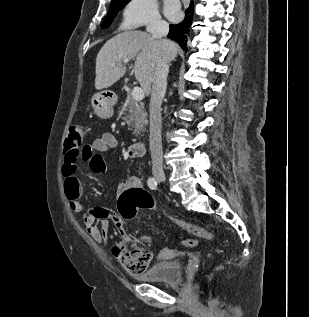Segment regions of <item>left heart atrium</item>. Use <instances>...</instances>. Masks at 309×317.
I'll return each instance as SVG.
<instances>
[{"label":"left heart atrium","mask_w":309,"mask_h":317,"mask_svg":"<svg viewBox=\"0 0 309 317\" xmlns=\"http://www.w3.org/2000/svg\"><path fill=\"white\" fill-rule=\"evenodd\" d=\"M165 13L169 19L177 20L181 14L178 3L174 0H168L165 5Z\"/></svg>","instance_id":"obj_1"}]
</instances>
